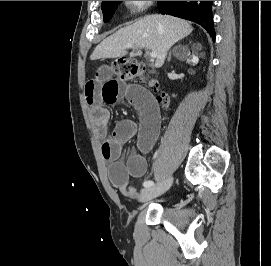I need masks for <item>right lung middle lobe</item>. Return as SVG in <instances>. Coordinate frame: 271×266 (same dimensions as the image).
<instances>
[{
  "instance_id": "right-lung-middle-lobe-1",
  "label": "right lung middle lobe",
  "mask_w": 271,
  "mask_h": 266,
  "mask_svg": "<svg viewBox=\"0 0 271 266\" xmlns=\"http://www.w3.org/2000/svg\"><path fill=\"white\" fill-rule=\"evenodd\" d=\"M119 2L121 1H102V12H103V19L104 21H108L112 15L113 12L116 10Z\"/></svg>"
}]
</instances>
